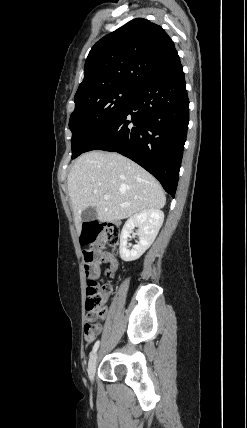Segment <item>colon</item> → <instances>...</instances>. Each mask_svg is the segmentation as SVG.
Segmentation results:
<instances>
[{
    "instance_id": "5ec220e1",
    "label": "colon",
    "mask_w": 247,
    "mask_h": 428,
    "mask_svg": "<svg viewBox=\"0 0 247 428\" xmlns=\"http://www.w3.org/2000/svg\"><path fill=\"white\" fill-rule=\"evenodd\" d=\"M99 236H102L106 245L117 248L120 241V229L112 224H88L83 234H79V243L90 244L98 243ZM86 274L90 277L87 288V322L84 326V334L92 335L96 331V320L103 318L106 314L105 301L111 292V287L107 284H98L94 277L93 261L95 259V250L90 246L83 252ZM109 275L111 271L107 272Z\"/></svg>"
}]
</instances>
